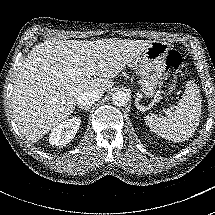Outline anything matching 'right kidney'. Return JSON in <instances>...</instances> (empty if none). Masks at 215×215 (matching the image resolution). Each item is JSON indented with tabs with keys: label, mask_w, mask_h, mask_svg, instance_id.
Here are the masks:
<instances>
[{
	"label": "right kidney",
	"mask_w": 215,
	"mask_h": 215,
	"mask_svg": "<svg viewBox=\"0 0 215 215\" xmlns=\"http://www.w3.org/2000/svg\"><path fill=\"white\" fill-rule=\"evenodd\" d=\"M79 118H71L59 123L51 132L49 142L51 145L64 146L74 137L80 126Z\"/></svg>",
	"instance_id": "ca27d5eb"
}]
</instances>
